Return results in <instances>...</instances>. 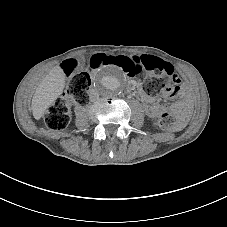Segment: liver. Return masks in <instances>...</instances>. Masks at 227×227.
I'll return each instance as SVG.
<instances>
[{"mask_svg":"<svg viewBox=\"0 0 227 227\" xmlns=\"http://www.w3.org/2000/svg\"><path fill=\"white\" fill-rule=\"evenodd\" d=\"M65 77L62 71L55 67L42 80L32 98V112L35 119H40L46 109L58 98L63 90Z\"/></svg>","mask_w":227,"mask_h":227,"instance_id":"6515ba94","label":"liver"}]
</instances>
